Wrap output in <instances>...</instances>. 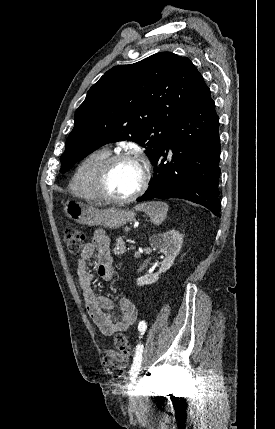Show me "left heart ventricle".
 I'll return each instance as SVG.
<instances>
[{
    "mask_svg": "<svg viewBox=\"0 0 275 429\" xmlns=\"http://www.w3.org/2000/svg\"><path fill=\"white\" fill-rule=\"evenodd\" d=\"M142 179L141 166L133 160H123L111 169L107 182V191L116 197L131 195L139 187Z\"/></svg>",
    "mask_w": 275,
    "mask_h": 429,
    "instance_id": "1",
    "label": "left heart ventricle"
}]
</instances>
